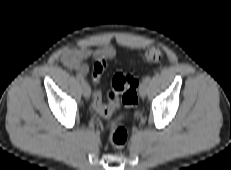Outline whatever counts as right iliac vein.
Instances as JSON below:
<instances>
[{"label": "right iliac vein", "instance_id": "obj_1", "mask_svg": "<svg viewBox=\"0 0 231 170\" xmlns=\"http://www.w3.org/2000/svg\"><path fill=\"white\" fill-rule=\"evenodd\" d=\"M82 93L86 99H89L91 96V88L87 82H82Z\"/></svg>", "mask_w": 231, "mask_h": 170}]
</instances>
